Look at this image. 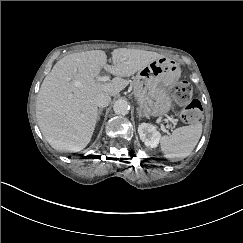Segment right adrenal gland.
<instances>
[{"label": "right adrenal gland", "mask_w": 243, "mask_h": 243, "mask_svg": "<svg viewBox=\"0 0 243 243\" xmlns=\"http://www.w3.org/2000/svg\"><path fill=\"white\" fill-rule=\"evenodd\" d=\"M102 112H103V109H99V110H98L97 121L100 120V115L102 114Z\"/></svg>", "instance_id": "right-adrenal-gland-1"}]
</instances>
